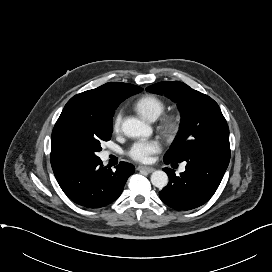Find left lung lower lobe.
<instances>
[{
  "mask_svg": "<svg viewBox=\"0 0 272 272\" xmlns=\"http://www.w3.org/2000/svg\"><path fill=\"white\" fill-rule=\"evenodd\" d=\"M229 161L230 152H205L187 160L186 170L180 176L164 168L169 183L159 192L161 200L176 210H191L203 205L217 190Z\"/></svg>",
  "mask_w": 272,
  "mask_h": 272,
  "instance_id": "0a47b994",
  "label": "left lung lower lobe"
}]
</instances>
